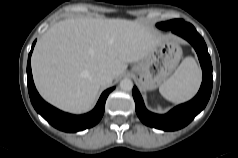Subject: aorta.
<instances>
[{
	"label": "aorta",
	"mask_w": 238,
	"mask_h": 158,
	"mask_svg": "<svg viewBox=\"0 0 238 158\" xmlns=\"http://www.w3.org/2000/svg\"><path fill=\"white\" fill-rule=\"evenodd\" d=\"M120 88L124 91H130L133 88V82L129 78H124L120 82Z\"/></svg>",
	"instance_id": "1"
}]
</instances>
